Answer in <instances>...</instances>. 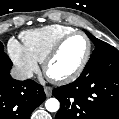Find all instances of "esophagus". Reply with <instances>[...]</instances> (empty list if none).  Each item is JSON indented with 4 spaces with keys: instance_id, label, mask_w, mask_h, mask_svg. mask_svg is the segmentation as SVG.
<instances>
[{
    "instance_id": "obj_1",
    "label": "esophagus",
    "mask_w": 119,
    "mask_h": 119,
    "mask_svg": "<svg viewBox=\"0 0 119 119\" xmlns=\"http://www.w3.org/2000/svg\"><path fill=\"white\" fill-rule=\"evenodd\" d=\"M44 91L47 97H50L52 95V88L50 86H45Z\"/></svg>"
}]
</instances>
